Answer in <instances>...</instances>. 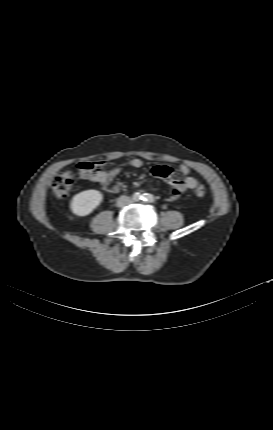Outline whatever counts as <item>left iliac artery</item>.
Segmentation results:
<instances>
[{
  "mask_svg": "<svg viewBox=\"0 0 273 430\" xmlns=\"http://www.w3.org/2000/svg\"><path fill=\"white\" fill-rule=\"evenodd\" d=\"M142 201L153 203V202H155V197L152 194L145 193L143 195Z\"/></svg>",
  "mask_w": 273,
  "mask_h": 430,
  "instance_id": "44dca946",
  "label": "left iliac artery"
}]
</instances>
